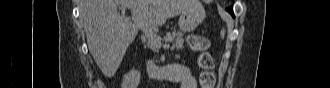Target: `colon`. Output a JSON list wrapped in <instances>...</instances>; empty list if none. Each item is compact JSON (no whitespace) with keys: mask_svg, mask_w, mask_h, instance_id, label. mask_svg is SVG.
I'll return each mask as SVG.
<instances>
[{"mask_svg":"<svg viewBox=\"0 0 330 88\" xmlns=\"http://www.w3.org/2000/svg\"><path fill=\"white\" fill-rule=\"evenodd\" d=\"M191 50L198 54L199 66L202 69L200 83L202 88H213L215 76L212 72L214 61L209 53L210 41L208 38L199 35L190 36L188 39Z\"/></svg>","mask_w":330,"mask_h":88,"instance_id":"5ec220e1","label":"colon"}]
</instances>
